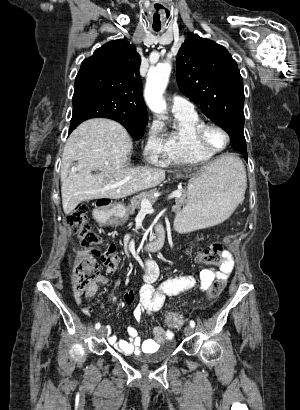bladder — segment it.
Wrapping results in <instances>:
<instances>
[{
  "mask_svg": "<svg viewBox=\"0 0 300 410\" xmlns=\"http://www.w3.org/2000/svg\"><path fill=\"white\" fill-rule=\"evenodd\" d=\"M174 343H169L164 348H161L150 355L132 356V359L141 365H154L166 360L174 351Z\"/></svg>",
  "mask_w": 300,
  "mask_h": 410,
  "instance_id": "obj_1",
  "label": "bladder"
}]
</instances>
